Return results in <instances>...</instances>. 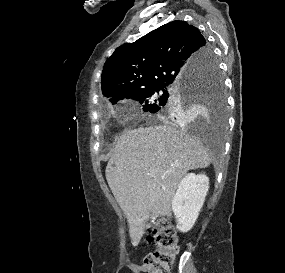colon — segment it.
<instances>
[{"instance_id":"colon-1","label":"colon","mask_w":285,"mask_h":273,"mask_svg":"<svg viewBox=\"0 0 285 273\" xmlns=\"http://www.w3.org/2000/svg\"><path fill=\"white\" fill-rule=\"evenodd\" d=\"M156 250L144 258V268L148 273H169L172 269L175 255L179 250L177 235L166 225H159L149 237Z\"/></svg>"}]
</instances>
